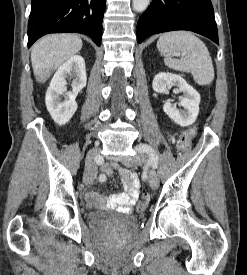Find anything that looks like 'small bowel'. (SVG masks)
Here are the masks:
<instances>
[{
	"label": "small bowel",
	"instance_id": "1",
	"mask_svg": "<svg viewBox=\"0 0 247 275\" xmlns=\"http://www.w3.org/2000/svg\"><path fill=\"white\" fill-rule=\"evenodd\" d=\"M107 175H111L113 170H117L123 179L124 190L114 194L108 199H104L100 194L94 191H87L85 194L86 200L93 206L106 204L111 208H120L124 212H128L137 202L139 196V180L137 176L123 168L114 167L111 164H105L102 167Z\"/></svg>",
	"mask_w": 247,
	"mask_h": 275
}]
</instances>
